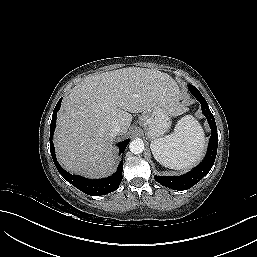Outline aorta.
Masks as SVG:
<instances>
[{
    "label": "aorta",
    "mask_w": 257,
    "mask_h": 257,
    "mask_svg": "<svg viewBox=\"0 0 257 257\" xmlns=\"http://www.w3.org/2000/svg\"><path fill=\"white\" fill-rule=\"evenodd\" d=\"M129 149L133 154H140L144 151V142L141 139H135L130 142Z\"/></svg>",
    "instance_id": "aorta-1"
}]
</instances>
